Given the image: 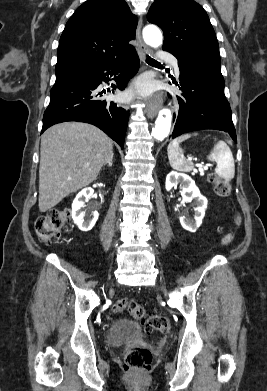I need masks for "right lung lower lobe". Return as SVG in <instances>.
<instances>
[{"label": "right lung lower lobe", "mask_w": 267, "mask_h": 391, "mask_svg": "<svg viewBox=\"0 0 267 391\" xmlns=\"http://www.w3.org/2000/svg\"><path fill=\"white\" fill-rule=\"evenodd\" d=\"M139 69V57L136 51L116 61L101 63L89 67L77 74L56 82L51 89V99L43 116L42 133L50 126L65 122L79 121L93 124L103 130L123 148L124 137L129 119V112L118 107L114 102L103 100L105 90L98 89L102 81H108L115 70H121L112 84L124 90L130 78Z\"/></svg>", "instance_id": "1"}]
</instances>
